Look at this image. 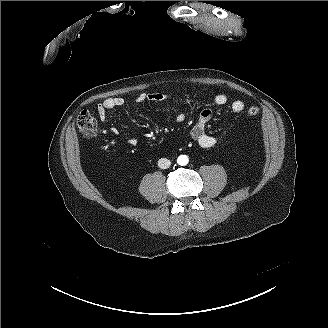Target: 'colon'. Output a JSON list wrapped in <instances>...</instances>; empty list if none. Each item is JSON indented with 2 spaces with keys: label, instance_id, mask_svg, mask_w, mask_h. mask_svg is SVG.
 <instances>
[{
  "label": "colon",
  "instance_id": "colon-1",
  "mask_svg": "<svg viewBox=\"0 0 328 328\" xmlns=\"http://www.w3.org/2000/svg\"><path fill=\"white\" fill-rule=\"evenodd\" d=\"M249 116H257L259 114V108L256 106H251L247 110ZM77 125L80 132L85 137H93L97 133V122L95 118L88 112L82 111L77 118Z\"/></svg>",
  "mask_w": 328,
  "mask_h": 328
}]
</instances>
